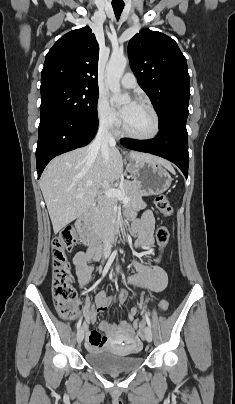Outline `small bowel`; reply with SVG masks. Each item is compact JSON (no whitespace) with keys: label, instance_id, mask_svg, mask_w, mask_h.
<instances>
[{"label":"small bowel","instance_id":"obj_1","mask_svg":"<svg viewBox=\"0 0 235 404\" xmlns=\"http://www.w3.org/2000/svg\"><path fill=\"white\" fill-rule=\"evenodd\" d=\"M154 219L152 213L145 212L139 220H136L132 226V233L135 237V247L140 250L139 255L142 261H134L133 266L136 274L131 277L130 283L140 289H144L152 296L154 293L163 291L168 284V274L160 266H151L147 263V249L153 244ZM97 252L92 247L85 251L78 252L74 259L75 272L78 284L81 288L85 287L92 279L94 267L91 263L96 260ZM100 256V254H98ZM127 295L122 292L117 301L120 304L125 303ZM113 299L106 292L100 291L95 295L94 306L86 307L83 311L85 322L83 331L85 334L86 347L93 350L100 347H110L114 343L130 341L132 334L131 322L135 319L137 310L132 307L128 312V320L121 321L119 324H110L107 321L100 323V329L106 334V337L95 330H90L89 325L96 320L97 312H105L112 304ZM105 341L103 342V340Z\"/></svg>","mask_w":235,"mask_h":404}]
</instances>
